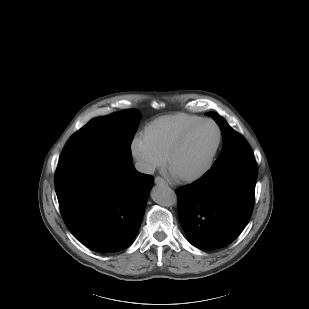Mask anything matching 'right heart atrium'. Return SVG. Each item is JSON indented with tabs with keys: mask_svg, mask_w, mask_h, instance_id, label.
I'll use <instances>...</instances> for the list:
<instances>
[{
	"mask_svg": "<svg viewBox=\"0 0 309 309\" xmlns=\"http://www.w3.org/2000/svg\"><path fill=\"white\" fill-rule=\"evenodd\" d=\"M130 153L138 169L144 173L154 171L164 162V159L146 142L143 135H137L132 139Z\"/></svg>",
	"mask_w": 309,
	"mask_h": 309,
	"instance_id": "1",
	"label": "right heart atrium"
}]
</instances>
